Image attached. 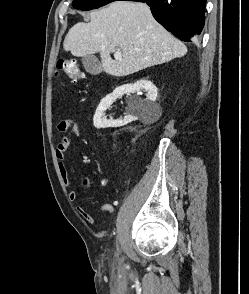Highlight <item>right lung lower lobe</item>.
Returning <instances> with one entry per match:
<instances>
[{"mask_svg":"<svg viewBox=\"0 0 249 294\" xmlns=\"http://www.w3.org/2000/svg\"><path fill=\"white\" fill-rule=\"evenodd\" d=\"M150 6L154 18L168 31L185 42L199 39L204 22L206 0H125Z\"/></svg>","mask_w":249,"mask_h":294,"instance_id":"98d812e1","label":"right lung lower lobe"}]
</instances>
